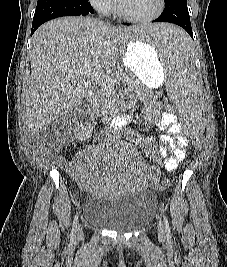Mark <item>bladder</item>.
<instances>
[{
    "label": "bladder",
    "instance_id": "1",
    "mask_svg": "<svg viewBox=\"0 0 227 267\" xmlns=\"http://www.w3.org/2000/svg\"><path fill=\"white\" fill-rule=\"evenodd\" d=\"M155 208V195L148 190L118 198L91 195L84 203L83 216L91 226L129 232L149 222Z\"/></svg>",
    "mask_w": 227,
    "mask_h": 267
}]
</instances>
